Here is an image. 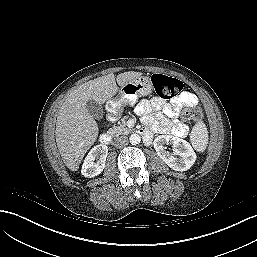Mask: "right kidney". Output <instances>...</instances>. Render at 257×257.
<instances>
[{
    "instance_id": "obj_1",
    "label": "right kidney",
    "mask_w": 257,
    "mask_h": 257,
    "mask_svg": "<svg viewBox=\"0 0 257 257\" xmlns=\"http://www.w3.org/2000/svg\"><path fill=\"white\" fill-rule=\"evenodd\" d=\"M107 153L108 148L106 145L100 144L94 146L83 162L81 169L82 175L89 178L99 175L105 168ZM98 155H100V159L94 162Z\"/></svg>"
}]
</instances>
